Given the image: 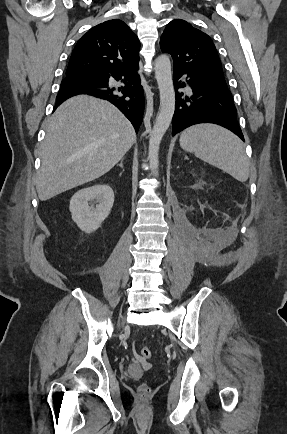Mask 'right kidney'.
<instances>
[{"instance_id":"1","label":"right kidney","mask_w":287,"mask_h":434,"mask_svg":"<svg viewBox=\"0 0 287 434\" xmlns=\"http://www.w3.org/2000/svg\"><path fill=\"white\" fill-rule=\"evenodd\" d=\"M89 201L96 202L94 206ZM114 203V192L106 184H98L76 192L71 200L69 210L73 221L86 233L96 231L109 215Z\"/></svg>"}]
</instances>
